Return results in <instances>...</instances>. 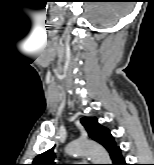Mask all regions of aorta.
I'll return each instance as SVG.
<instances>
[{
	"label": "aorta",
	"instance_id": "aorta-1",
	"mask_svg": "<svg viewBox=\"0 0 154 165\" xmlns=\"http://www.w3.org/2000/svg\"><path fill=\"white\" fill-rule=\"evenodd\" d=\"M70 156H89L94 164H111L108 152L99 144L90 141H74L66 147Z\"/></svg>",
	"mask_w": 154,
	"mask_h": 165
}]
</instances>
